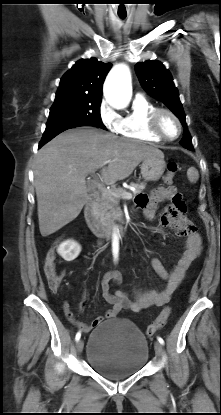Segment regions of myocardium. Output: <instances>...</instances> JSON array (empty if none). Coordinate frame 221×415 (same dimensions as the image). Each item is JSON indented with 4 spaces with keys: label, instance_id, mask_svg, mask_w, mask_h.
<instances>
[{
    "label": "myocardium",
    "instance_id": "1",
    "mask_svg": "<svg viewBox=\"0 0 221 415\" xmlns=\"http://www.w3.org/2000/svg\"><path fill=\"white\" fill-rule=\"evenodd\" d=\"M163 114H167V115L171 116L175 120V122L177 123L178 132H177L176 136L169 137L162 131V129L160 127V120H161V117H162ZM148 128L155 136H157L158 138H160L161 140H164V141H174L182 133L181 120L176 115V113H174L172 110H170L168 108L157 107L156 109H154L150 113L149 118H148Z\"/></svg>",
    "mask_w": 221,
    "mask_h": 415
}]
</instances>
